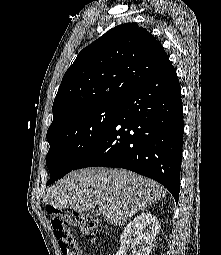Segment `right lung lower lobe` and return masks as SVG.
Here are the masks:
<instances>
[{
  "label": "right lung lower lobe",
  "instance_id": "obj_1",
  "mask_svg": "<svg viewBox=\"0 0 221 255\" xmlns=\"http://www.w3.org/2000/svg\"><path fill=\"white\" fill-rule=\"evenodd\" d=\"M182 143L181 89L169 61L120 103L110 125L73 170L91 166L132 170L164 185L177 203Z\"/></svg>",
  "mask_w": 221,
  "mask_h": 255
}]
</instances>
